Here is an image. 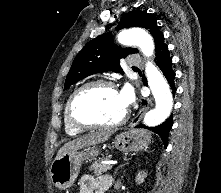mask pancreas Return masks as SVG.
<instances>
[{
  "mask_svg": "<svg viewBox=\"0 0 221 193\" xmlns=\"http://www.w3.org/2000/svg\"><path fill=\"white\" fill-rule=\"evenodd\" d=\"M104 161H108L109 158H104ZM89 169L94 172L95 176H100L107 172V164H101L99 162H94Z\"/></svg>",
  "mask_w": 221,
  "mask_h": 193,
  "instance_id": "pancreas-1",
  "label": "pancreas"
}]
</instances>
